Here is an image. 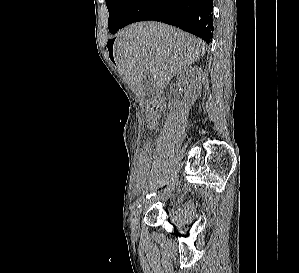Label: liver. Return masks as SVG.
Instances as JSON below:
<instances>
[{
  "label": "liver",
  "instance_id": "6515ba94",
  "mask_svg": "<svg viewBox=\"0 0 299 273\" xmlns=\"http://www.w3.org/2000/svg\"><path fill=\"white\" fill-rule=\"evenodd\" d=\"M205 51L206 44L201 39L165 24L145 21L117 34L113 55L129 86L139 99H144L147 94L142 81L146 73L151 75L156 95Z\"/></svg>",
  "mask_w": 299,
  "mask_h": 273
}]
</instances>
